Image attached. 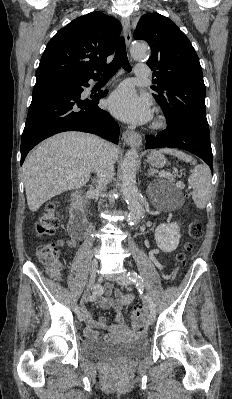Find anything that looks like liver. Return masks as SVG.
I'll return each mask as SVG.
<instances>
[{
	"instance_id": "obj_1",
	"label": "liver",
	"mask_w": 232,
	"mask_h": 399,
	"mask_svg": "<svg viewBox=\"0 0 232 399\" xmlns=\"http://www.w3.org/2000/svg\"><path fill=\"white\" fill-rule=\"evenodd\" d=\"M108 148L116 162L117 146L109 144ZM99 150H102V140L82 132H63L41 142L23 164L29 209L37 211L50 198L85 186Z\"/></svg>"
}]
</instances>
